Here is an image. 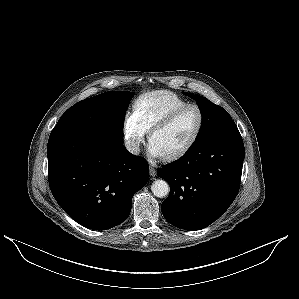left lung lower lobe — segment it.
<instances>
[{
    "label": "left lung lower lobe",
    "mask_w": 299,
    "mask_h": 299,
    "mask_svg": "<svg viewBox=\"0 0 299 299\" xmlns=\"http://www.w3.org/2000/svg\"><path fill=\"white\" fill-rule=\"evenodd\" d=\"M244 156L243 140L233 121L158 169V176L170 185L161 205L165 219L189 231L212 224L237 196Z\"/></svg>",
    "instance_id": "obj_1"
}]
</instances>
